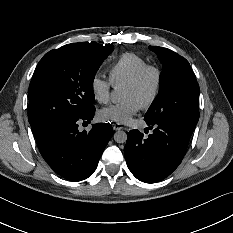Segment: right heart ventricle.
Segmentation results:
<instances>
[{"label":"right heart ventricle","instance_id":"right-heart-ventricle-1","mask_svg":"<svg viewBox=\"0 0 233 233\" xmlns=\"http://www.w3.org/2000/svg\"><path fill=\"white\" fill-rule=\"evenodd\" d=\"M146 64V60L136 53H123L117 57L109 67V80L114 86L124 85L141 67Z\"/></svg>","mask_w":233,"mask_h":233}]
</instances>
